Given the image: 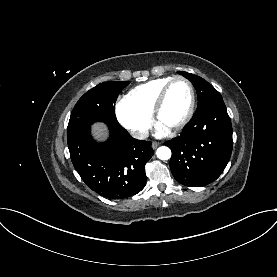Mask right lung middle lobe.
Masks as SVG:
<instances>
[{
  "mask_svg": "<svg viewBox=\"0 0 277 277\" xmlns=\"http://www.w3.org/2000/svg\"><path fill=\"white\" fill-rule=\"evenodd\" d=\"M129 83V81L103 82L86 92L72 110L67 128V140H71L94 122L119 124L114 104L119 92Z\"/></svg>",
  "mask_w": 277,
  "mask_h": 277,
  "instance_id": "dd1d6c3e",
  "label": "right lung middle lobe"
}]
</instances>
